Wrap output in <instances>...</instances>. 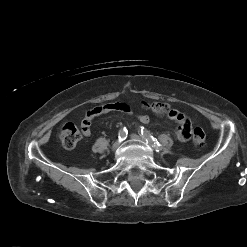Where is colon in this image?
Wrapping results in <instances>:
<instances>
[{"mask_svg": "<svg viewBox=\"0 0 247 247\" xmlns=\"http://www.w3.org/2000/svg\"><path fill=\"white\" fill-rule=\"evenodd\" d=\"M144 106L156 115L162 116V115L170 114L171 112L169 106L165 103L156 102L151 104H145ZM190 136L192 138V142L196 146H202L205 142V138H206L205 132L199 126H195L191 129ZM59 137L62 145L66 149H72L77 145V143L81 139V132L74 123L67 122L62 125L60 129Z\"/></svg>", "mask_w": 247, "mask_h": 247, "instance_id": "colon-1", "label": "colon"}]
</instances>
